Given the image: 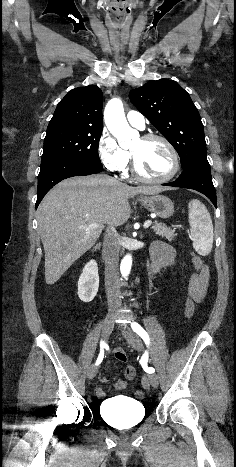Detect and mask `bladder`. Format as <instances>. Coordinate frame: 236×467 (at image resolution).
I'll return each instance as SVG.
<instances>
[{
	"mask_svg": "<svg viewBox=\"0 0 236 467\" xmlns=\"http://www.w3.org/2000/svg\"><path fill=\"white\" fill-rule=\"evenodd\" d=\"M99 411L111 426L118 429L137 425L146 414L140 401L124 396L103 401Z\"/></svg>",
	"mask_w": 236,
	"mask_h": 467,
	"instance_id": "bladder-1",
	"label": "bladder"
}]
</instances>
